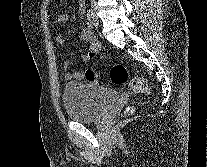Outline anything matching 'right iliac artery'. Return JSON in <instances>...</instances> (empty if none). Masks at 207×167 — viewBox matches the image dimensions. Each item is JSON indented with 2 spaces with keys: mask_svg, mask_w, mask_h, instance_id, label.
<instances>
[{
  "mask_svg": "<svg viewBox=\"0 0 207 167\" xmlns=\"http://www.w3.org/2000/svg\"><path fill=\"white\" fill-rule=\"evenodd\" d=\"M87 26L89 29H92L93 28V12L91 9L88 10V13H87Z\"/></svg>",
  "mask_w": 207,
  "mask_h": 167,
  "instance_id": "right-iliac-artery-1",
  "label": "right iliac artery"
}]
</instances>
